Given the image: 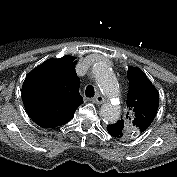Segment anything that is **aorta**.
Wrapping results in <instances>:
<instances>
[{"mask_svg": "<svg viewBox=\"0 0 177 177\" xmlns=\"http://www.w3.org/2000/svg\"><path fill=\"white\" fill-rule=\"evenodd\" d=\"M92 73L101 92L112 99L119 95V86L116 77L110 67L104 62H97L92 67ZM121 114L118 104L106 102L101 106L100 116L107 123H115Z\"/></svg>", "mask_w": 177, "mask_h": 177, "instance_id": "obj_1", "label": "aorta"}]
</instances>
